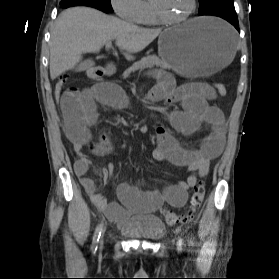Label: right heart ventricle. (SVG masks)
Masks as SVG:
<instances>
[{
    "label": "right heart ventricle",
    "instance_id": "obj_1",
    "mask_svg": "<svg viewBox=\"0 0 279 279\" xmlns=\"http://www.w3.org/2000/svg\"><path fill=\"white\" fill-rule=\"evenodd\" d=\"M137 23L143 25H157L160 23L153 13L150 0L143 1V10Z\"/></svg>",
    "mask_w": 279,
    "mask_h": 279
}]
</instances>
